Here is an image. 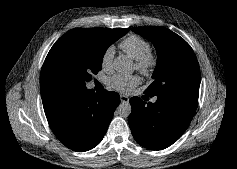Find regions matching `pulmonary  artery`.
Segmentation results:
<instances>
[{"mask_svg":"<svg viewBox=\"0 0 237 169\" xmlns=\"http://www.w3.org/2000/svg\"><path fill=\"white\" fill-rule=\"evenodd\" d=\"M155 101H156V99H153V100H152V102H155Z\"/></svg>","mask_w":237,"mask_h":169,"instance_id":"1","label":"pulmonary artery"}]
</instances>
